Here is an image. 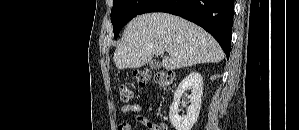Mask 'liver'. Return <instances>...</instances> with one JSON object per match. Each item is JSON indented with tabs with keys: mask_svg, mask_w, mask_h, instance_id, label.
Masks as SVG:
<instances>
[{
	"mask_svg": "<svg viewBox=\"0 0 299 130\" xmlns=\"http://www.w3.org/2000/svg\"><path fill=\"white\" fill-rule=\"evenodd\" d=\"M159 49L169 54L161 64L166 70L224 58L217 41L201 27L171 14L147 13L127 24L113 60L118 69L139 68Z\"/></svg>",
	"mask_w": 299,
	"mask_h": 130,
	"instance_id": "1",
	"label": "liver"
}]
</instances>
